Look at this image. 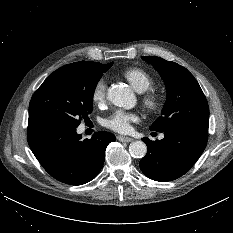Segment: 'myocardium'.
Wrapping results in <instances>:
<instances>
[{
	"label": "myocardium",
	"mask_w": 233,
	"mask_h": 233,
	"mask_svg": "<svg viewBox=\"0 0 233 233\" xmlns=\"http://www.w3.org/2000/svg\"><path fill=\"white\" fill-rule=\"evenodd\" d=\"M143 105L149 111H156L160 105L159 97L153 93H147L143 97Z\"/></svg>",
	"instance_id": "1"
}]
</instances>
